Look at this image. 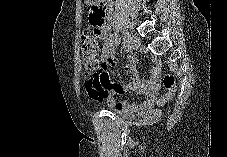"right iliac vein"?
I'll list each match as a JSON object with an SVG mask.
<instances>
[{
  "mask_svg": "<svg viewBox=\"0 0 227 157\" xmlns=\"http://www.w3.org/2000/svg\"><path fill=\"white\" fill-rule=\"evenodd\" d=\"M125 39L126 45H130L131 49H136L140 46V40L134 35L127 33Z\"/></svg>",
  "mask_w": 227,
  "mask_h": 157,
  "instance_id": "1",
  "label": "right iliac vein"
}]
</instances>
